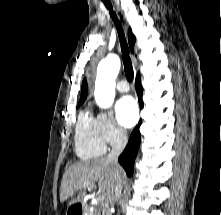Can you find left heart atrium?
Here are the masks:
<instances>
[{
    "instance_id": "39dd6f15",
    "label": "left heart atrium",
    "mask_w": 221,
    "mask_h": 215,
    "mask_svg": "<svg viewBox=\"0 0 221 215\" xmlns=\"http://www.w3.org/2000/svg\"><path fill=\"white\" fill-rule=\"evenodd\" d=\"M116 117L124 127H132L138 120V108L135 100L126 96L116 104Z\"/></svg>"
}]
</instances>
